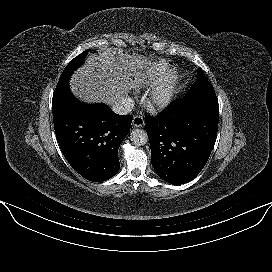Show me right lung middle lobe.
Wrapping results in <instances>:
<instances>
[{"instance_id":"right-lung-middle-lobe-1","label":"right lung middle lobe","mask_w":272,"mask_h":272,"mask_svg":"<svg viewBox=\"0 0 272 272\" xmlns=\"http://www.w3.org/2000/svg\"><path fill=\"white\" fill-rule=\"evenodd\" d=\"M87 52L88 50L75 57L64 69L54 91L52 101H55L58 97L69 90V78L71 74L83 64Z\"/></svg>"}]
</instances>
